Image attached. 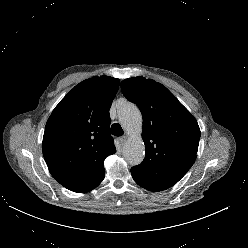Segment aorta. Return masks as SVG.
Instances as JSON below:
<instances>
[{"label":"aorta","instance_id":"1","mask_svg":"<svg viewBox=\"0 0 248 248\" xmlns=\"http://www.w3.org/2000/svg\"><path fill=\"white\" fill-rule=\"evenodd\" d=\"M119 121L129 135L123 147L125 160L131 165L140 164L145 157V145L141 138L142 115L132 103H125L119 109Z\"/></svg>","mask_w":248,"mask_h":248}]
</instances>
